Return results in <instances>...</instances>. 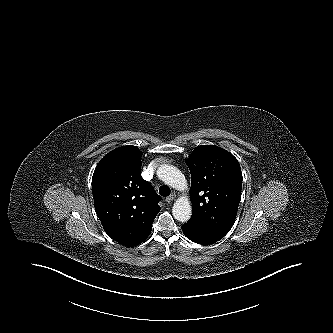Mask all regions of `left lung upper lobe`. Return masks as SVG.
Segmentation results:
<instances>
[{
	"mask_svg": "<svg viewBox=\"0 0 333 333\" xmlns=\"http://www.w3.org/2000/svg\"><path fill=\"white\" fill-rule=\"evenodd\" d=\"M185 162L191 172L189 222L225 236L241 199L243 177L237 159L223 148L201 145Z\"/></svg>",
	"mask_w": 333,
	"mask_h": 333,
	"instance_id": "5c2ea615",
	"label": "left lung upper lobe"
}]
</instances>
